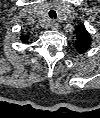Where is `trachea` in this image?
I'll return each mask as SVG.
<instances>
[{
    "instance_id": "1",
    "label": "trachea",
    "mask_w": 100,
    "mask_h": 118,
    "mask_svg": "<svg viewBox=\"0 0 100 118\" xmlns=\"http://www.w3.org/2000/svg\"><path fill=\"white\" fill-rule=\"evenodd\" d=\"M49 16H50V18H54L55 19L57 14H56V12L54 10H50L49 11Z\"/></svg>"
}]
</instances>
